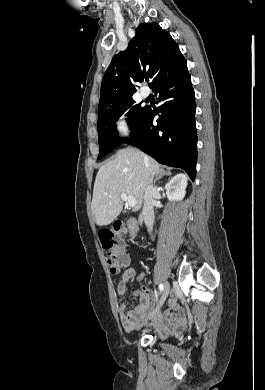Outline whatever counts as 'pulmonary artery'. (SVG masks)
Returning <instances> with one entry per match:
<instances>
[{
	"label": "pulmonary artery",
	"instance_id": "1",
	"mask_svg": "<svg viewBox=\"0 0 265 390\" xmlns=\"http://www.w3.org/2000/svg\"><path fill=\"white\" fill-rule=\"evenodd\" d=\"M140 93L143 98H147L150 94V90L147 87H142Z\"/></svg>",
	"mask_w": 265,
	"mask_h": 390
}]
</instances>
